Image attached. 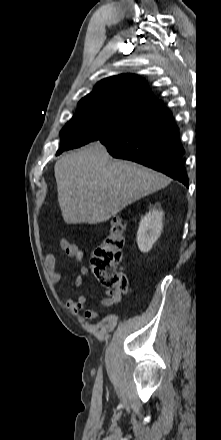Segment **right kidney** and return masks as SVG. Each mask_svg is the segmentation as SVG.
<instances>
[{
  "label": "right kidney",
  "instance_id": "1",
  "mask_svg": "<svg viewBox=\"0 0 221 440\" xmlns=\"http://www.w3.org/2000/svg\"><path fill=\"white\" fill-rule=\"evenodd\" d=\"M163 211H149L140 221L137 232V245L141 252L147 253L159 238L163 228Z\"/></svg>",
  "mask_w": 221,
  "mask_h": 440
}]
</instances>
